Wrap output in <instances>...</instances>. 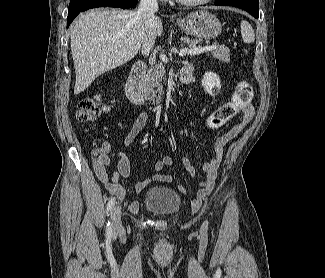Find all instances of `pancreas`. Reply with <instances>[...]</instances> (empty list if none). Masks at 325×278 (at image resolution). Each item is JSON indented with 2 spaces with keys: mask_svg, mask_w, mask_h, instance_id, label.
<instances>
[{
  "mask_svg": "<svg viewBox=\"0 0 325 278\" xmlns=\"http://www.w3.org/2000/svg\"><path fill=\"white\" fill-rule=\"evenodd\" d=\"M184 43L190 48H196L197 40H192L189 37L183 39ZM211 55L219 61H230V50L224 45H217L212 50ZM166 78L165 66L162 63L154 65L148 70L143 80L144 96L152 103H159L161 101V94L163 93L162 81Z\"/></svg>",
  "mask_w": 325,
  "mask_h": 278,
  "instance_id": "1",
  "label": "pancreas"
}]
</instances>
